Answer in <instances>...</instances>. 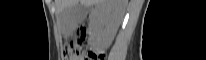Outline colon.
Returning a JSON list of instances; mask_svg holds the SVG:
<instances>
[{
	"instance_id": "1",
	"label": "colon",
	"mask_w": 206,
	"mask_h": 60,
	"mask_svg": "<svg viewBox=\"0 0 206 60\" xmlns=\"http://www.w3.org/2000/svg\"><path fill=\"white\" fill-rule=\"evenodd\" d=\"M86 38V29L81 27L77 31V36L74 39H68L64 47V57L67 60H92L98 59L100 56H95L93 52L88 51L84 47Z\"/></svg>"
}]
</instances>
